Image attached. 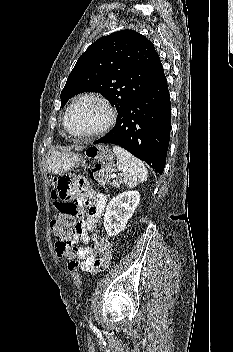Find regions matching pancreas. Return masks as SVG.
<instances>
[{
    "label": "pancreas",
    "instance_id": "1",
    "mask_svg": "<svg viewBox=\"0 0 233 352\" xmlns=\"http://www.w3.org/2000/svg\"><path fill=\"white\" fill-rule=\"evenodd\" d=\"M121 179L117 178L116 180H114L111 184H112V187L114 188H119L120 185H121Z\"/></svg>",
    "mask_w": 233,
    "mask_h": 352
}]
</instances>
